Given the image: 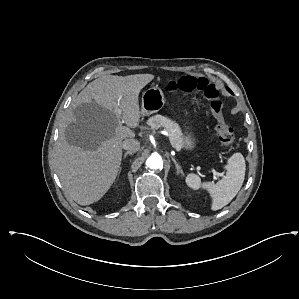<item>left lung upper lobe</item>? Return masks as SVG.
I'll use <instances>...</instances> for the list:
<instances>
[{
  "instance_id": "obj_1",
  "label": "left lung upper lobe",
  "mask_w": 299,
  "mask_h": 299,
  "mask_svg": "<svg viewBox=\"0 0 299 299\" xmlns=\"http://www.w3.org/2000/svg\"><path fill=\"white\" fill-rule=\"evenodd\" d=\"M227 90L230 92L231 90L229 88H227Z\"/></svg>"
}]
</instances>
